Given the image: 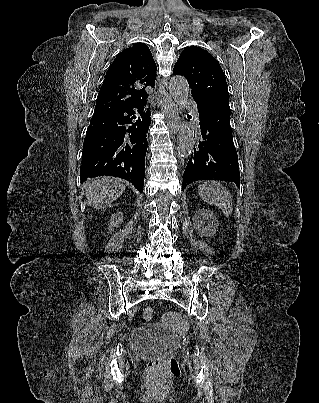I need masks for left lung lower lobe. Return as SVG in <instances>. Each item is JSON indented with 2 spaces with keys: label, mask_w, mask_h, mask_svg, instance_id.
Returning <instances> with one entry per match:
<instances>
[{
  "label": "left lung lower lobe",
  "mask_w": 319,
  "mask_h": 403,
  "mask_svg": "<svg viewBox=\"0 0 319 403\" xmlns=\"http://www.w3.org/2000/svg\"><path fill=\"white\" fill-rule=\"evenodd\" d=\"M200 139L183 174V189L197 180H224L240 186L238 156L230 126L229 102L195 99Z\"/></svg>",
  "instance_id": "left-lung-lower-lobe-1"
}]
</instances>
